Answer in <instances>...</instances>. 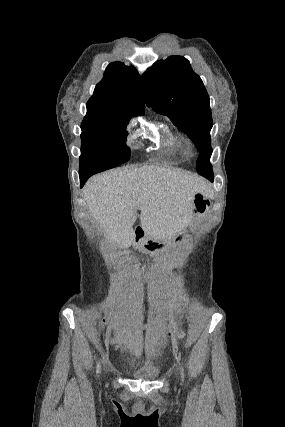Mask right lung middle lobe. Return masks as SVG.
Returning <instances> with one entry per match:
<instances>
[{
	"label": "right lung middle lobe",
	"instance_id": "1",
	"mask_svg": "<svg viewBox=\"0 0 285 427\" xmlns=\"http://www.w3.org/2000/svg\"><path fill=\"white\" fill-rule=\"evenodd\" d=\"M128 122L81 125L79 173H98L125 163L130 158L126 146Z\"/></svg>",
	"mask_w": 285,
	"mask_h": 427
}]
</instances>
